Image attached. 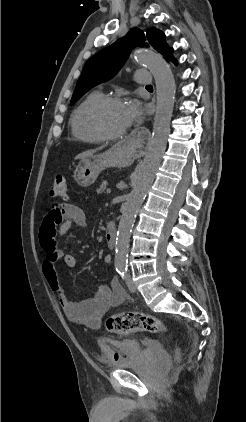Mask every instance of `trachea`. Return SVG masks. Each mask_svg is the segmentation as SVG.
I'll return each mask as SVG.
<instances>
[{
  "instance_id": "1",
  "label": "trachea",
  "mask_w": 246,
  "mask_h": 422,
  "mask_svg": "<svg viewBox=\"0 0 246 422\" xmlns=\"http://www.w3.org/2000/svg\"><path fill=\"white\" fill-rule=\"evenodd\" d=\"M147 87H152V85H148Z\"/></svg>"
}]
</instances>
